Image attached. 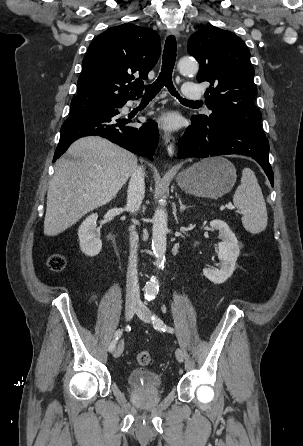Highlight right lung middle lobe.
I'll use <instances>...</instances> for the list:
<instances>
[{
  "label": "right lung middle lobe",
  "instance_id": "right-lung-middle-lobe-1",
  "mask_svg": "<svg viewBox=\"0 0 303 446\" xmlns=\"http://www.w3.org/2000/svg\"><path fill=\"white\" fill-rule=\"evenodd\" d=\"M117 107L118 106H108V107H102V108H99V109H104V108L115 109ZM86 111H88V106L85 105L84 103H82V102H75V101L71 102L70 115H74V114H78V113H82V112H86Z\"/></svg>",
  "mask_w": 303,
  "mask_h": 446
}]
</instances>
